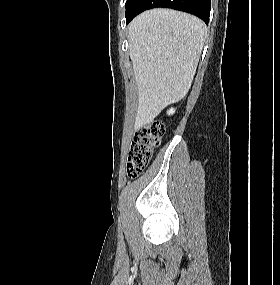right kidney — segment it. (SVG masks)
<instances>
[{"label":"right kidney","instance_id":"right-kidney-1","mask_svg":"<svg viewBox=\"0 0 280 285\" xmlns=\"http://www.w3.org/2000/svg\"><path fill=\"white\" fill-rule=\"evenodd\" d=\"M167 113H168V115H172L175 113V109L171 108Z\"/></svg>","mask_w":280,"mask_h":285}]
</instances>
